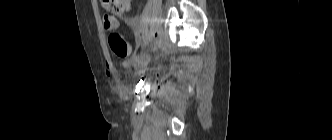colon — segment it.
I'll return each mask as SVG.
<instances>
[{"mask_svg": "<svg viewBox=\"0 0 332 140\" xmlns=\"http://www.w3.org/2000/svg\"><path fill=\"white\" fill-rule=\"evenodd\" d=\"M102 5L111 13L103 16V26L112 33L109 36V45L112 51L119 57L129 54L130 48L123 35L117 31L118 21L115 14H121L129 10L130 0H100Z\"/></svg>", "mask_w": 332, "mask_h": 140, "instance_id": "5ec220e1", "label": "colon"}]
</instances>
